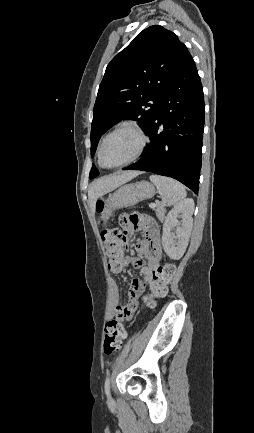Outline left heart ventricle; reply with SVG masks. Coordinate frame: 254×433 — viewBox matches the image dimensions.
Segmentation results:
<instances>
[{"label":"left heart ventricle","mask_w":254,"mask_h":433,"mask_svg":"<svg viewBox=\"0 0 254 433\" xmlns=\"http://www.w3.org/2000/svg\"><path fill=\"white\" fill-rule=\"evenodd\" d=\"M140 146V138L129 129L113 134L102 150V161L105 165L115 166L130 159Z\"/></svg>","instance_id":"left-heart-ventricle-1"}]
</instances>
